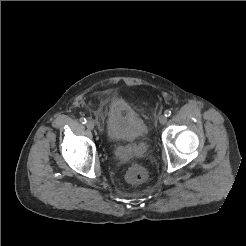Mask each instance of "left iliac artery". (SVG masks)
<instances>
[{"instance_id": "44dca946", "label": "left iliac artery", "mask_w": 246, "mask_h": 246, "mask_svg": "<svg viewBox=\"0 0 246 246\" xmlns=\"http://www.w3.org/2000/svg\"><path fill=\"white\" fill-rule=\"evenodd\" d=\"M164 114H165L166 117H169L171 115V111L170 110H166L164 112Z\"/></svg>"}]
</instances>
